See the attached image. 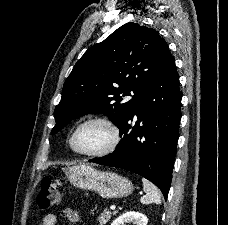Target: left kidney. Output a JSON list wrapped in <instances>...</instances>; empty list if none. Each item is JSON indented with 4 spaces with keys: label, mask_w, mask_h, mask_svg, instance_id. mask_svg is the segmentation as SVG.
<instances>
[{
    "label": "left kidney",
    "mask_w": 228,
    "mask_h": 225,
    "mask_svg": "<svg viewBox=\"0 0 228 225\" xmlns=\"http://www.w3.org/2000/svg\"><path fill=\"white\" fill-rule=\"evenodd\" d=\"M124 223H132V225H147L148 219L142 213H135V211H128L117 217L112 225H124Z\"/></svg>",
    "instance_id": "left-kidney-1"
}]
</instances>
